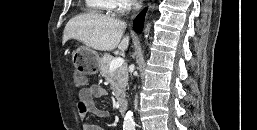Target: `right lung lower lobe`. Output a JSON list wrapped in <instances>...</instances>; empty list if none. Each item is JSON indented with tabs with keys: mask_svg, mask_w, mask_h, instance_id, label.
Listing matches in <instances>:
<instances>
[{
	"mask_svg": "<svg viewBox=\"0 0 257 130\" xmlns=\"http://www.w3.org/2000/svg\"><path fill=\"white\" fill-rule=\"evenodd\" d=\"M146 9L143 10L136 18L134 22V29L136 32H141L143 29V22H144V16H145Z\"/></svg>",
	"mask_w": 257,
	"mask_h": 130,
	"instance_id": "1",
	"label": "right lung lower lobe"
}]
</instances>
